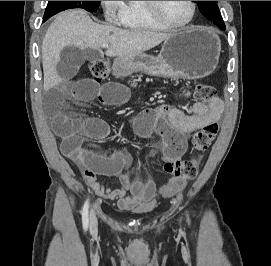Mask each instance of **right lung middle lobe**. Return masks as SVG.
Segmentation results:
<instances>
[{
	"instance_id": "obj_1",
	"label": "right lung middle lobe",
	"mask_w": 271,
	"mask_h": 266,
	"mask_svg": "<svg viewBox=\"0 0 271 266\" xmlns=\"http://www.w3.org/2000/svg\"><path fill=\"white\" fill-rule=\"evenodd\" d=\"M98 7L99 1H48L43 21L66 9L82 8L89 12H96Z\"/></svg>"
}]
</instances>
